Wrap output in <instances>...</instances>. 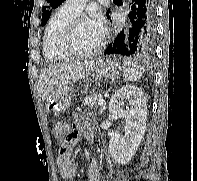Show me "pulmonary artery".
Listing matches in <instances>:
<instances>
[{
    "label": "pulmonary artery",
    "instance_id": "1",
    "mask_svg": "<svg viewBox=\"0 0 197 181\" xmlns=\"http://www.w3.org/2000/svg\"><path fill=\"white\" fill-rule=\"evenodd\" d=\"M86 2L87 0H66L63 6L68 10L79 14L84 8Z\"/></svg>",
    "mask_w": 197,
    "mask_h": 181
}]
</instances>
